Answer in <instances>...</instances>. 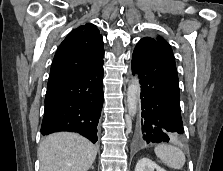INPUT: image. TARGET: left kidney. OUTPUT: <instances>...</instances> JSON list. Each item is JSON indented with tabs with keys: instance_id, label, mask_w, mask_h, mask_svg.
<instances>
[{
	"instance_id": "1",
	"label": "left kidney",
	"mask_w": 223,
	"mask_h": 171,
	"mask_svg": "<svg viewBox=\"0 0 223 171\" xmlns=\"http://www.w3.org/2000/svg\"><path fill=\"white\" fill-rule=\"evenodd\" d=\"M135 171H166V170L158 166L155 162H153L149 158H142L137 162Z\"/></svg>"
}]
</instances>
